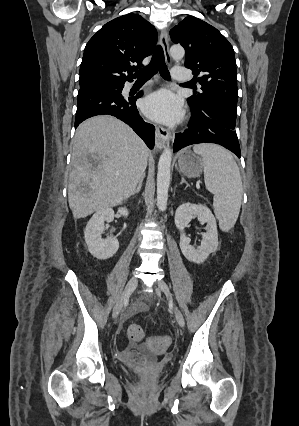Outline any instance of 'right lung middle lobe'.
Instances as JSON below:
<instances>
[{
  "label": "right lung middle lobe",
  "mask_w": 299,
  "mask_h": 426,
  "mask_svg": "<svg viewBox=\"0 0 299 426\" xmlns=\"http://www.w3.org/2000/svg\"><path fill=\"white\" fill-rule=\"evenodd\" d=\"M123 85H114V86H99V87H109V88H114V89H117V88H120V87H122Z\"/></svg>",
  "instance_id": "1"
}]
</instances>
